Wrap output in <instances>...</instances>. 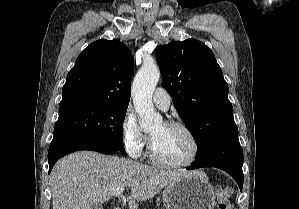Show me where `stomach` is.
I'll list each match as a JSON object with an SVG mask.
<instances>
[{"label": "stomach", "instance_id": "stomach-1", "mask_svg": "<svg viewBox=\"0 0 299 209\" xmlns=\"http://www.w3.org/2000/svg\"><path fill=\"white\" fill-rule=\"evenodd\" d=\"M163 203L166 209H214L216 204L208 177L194 171L165 187Z\"/></svg>", "mask_w": 299, "mask_h": 209}]
</instances>
